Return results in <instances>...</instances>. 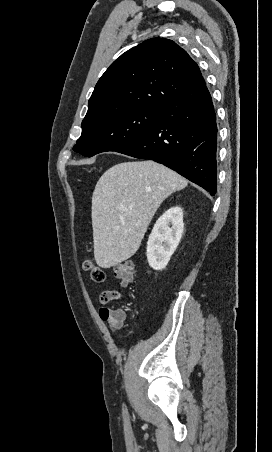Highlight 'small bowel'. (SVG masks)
<instances>
[{"label":"small bowel","mask_w":272,"mask_h":452,"mask_svg":"<svg viewBox=\"0 0 272 452\" xmlns=\"http://www.w3.org/2000/svg\"><path fill=\"white\" fill-rule=\"evenodd\" d=\"M120 298L121 294L116 290H107L100 295V300L103 304L119 300ZM100 317L108 323V326L112 331H117L122 328L126 321V312L119 309L114 310L108 307H102L100 309Z\"/></svg>","instance_id":"obj_1"}]
</instances>
